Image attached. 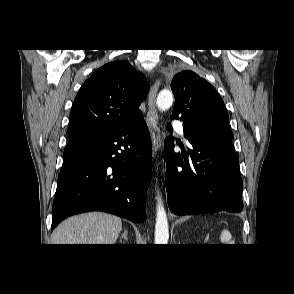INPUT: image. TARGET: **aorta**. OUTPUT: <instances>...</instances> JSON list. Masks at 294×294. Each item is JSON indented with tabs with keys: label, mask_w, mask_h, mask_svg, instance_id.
<instances>
[{
	"label": "aorta",
	"mask_w": 294,
	"mask_h": 294,
	"mask_svg": "<svg viewBox=\"0 0 294 294\" xmlns=\"http://www.w3.org/2000/svg\"><path fill=\"white\" fill-rule=\"evenodd\" d=\"M173 104V94L169 90H162L156 99V105L160 111L168 110ZM157 217L155 224V244L166 245L169 240V226L167 215L163 207L161 197H157Z\"/></svg>",
	"instance_id": "1"
}]
</instances>
